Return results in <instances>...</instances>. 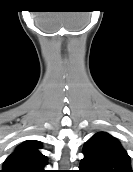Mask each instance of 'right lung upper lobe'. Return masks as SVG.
I'll use <instances>...</instances> for the list:
<instances>
[{
    "label": "right lung upper lobe",
    "instance_id": "1",
    "mask_svg": "<svg viewBox=\"0 0 133 172\" xmlns=\"http://www.w3.org/2000/svg\"><path fill=\"white\" fill-rule=\"evenodd\" d=\"M41 147V143L35 140L23 142L5 160L0 172H46L47 158L39 152Z\"/></svg>",
    "mask_w": 133,
    "mask_h": 172
}]
</instances>
